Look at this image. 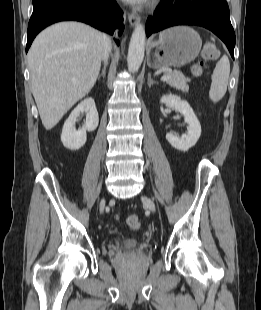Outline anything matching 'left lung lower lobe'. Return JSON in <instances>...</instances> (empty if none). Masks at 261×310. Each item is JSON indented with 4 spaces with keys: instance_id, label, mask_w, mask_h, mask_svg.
Segmentation results:
<instances>
[{
    "instance_id": "left-lung-lower-lobe-1",
    "label": "left lung lower lobe",
    "mask_w": 261,
    "mask_h": 310,
    "mask_svg": "<svg viewBox=\"0 0 261 310\" xmlns=\"http://www.w3.org/2000/svg\"><path fill=\"white\" fill-rule=\"evenodd\" d=\"M175 25H198L215 33L234 59L235 33L226 0H161L147 20L146 34Z\"/></svg>"
}]
</instances>
